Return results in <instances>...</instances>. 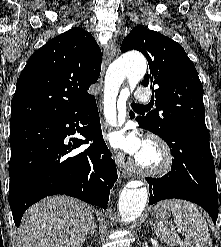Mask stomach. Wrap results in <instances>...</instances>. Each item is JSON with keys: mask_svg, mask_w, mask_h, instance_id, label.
<instances>
[{"mask_svg": "<svg viewBox=\"0 0 221 247\" xmlns=\"http://www.w3.org/2000/svg\"><path fill=\"white\" fill-rule=\"evenodd\" d=\"M179 200H170V201H163L158 203L155 208H154V216L156 218H160V219H164V218H168L171 214L170 209L167 208V204L170 203H179Z\"/></svg>", "mask_w": 221, "mask_h": 247, "instance_id": "0dacf381", "label": "stomach"}]
</instances>
